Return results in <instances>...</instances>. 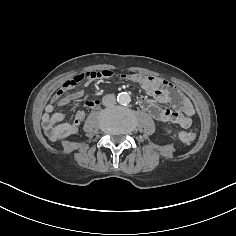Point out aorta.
Here are the masks:
<instances>
[{"mask_svg": "<svg viewBox=\"0 0 236 236\" xmlns=\"http://www.w3.org/2000/svg\"><path fill=\"white\" fill-rule=\"evenodd\" d=\"M117 101L121 105H127V104L130 103L131 97H130V95L127 92H121L117 96Z\"/></svg>", "mask_w": 236, "mask_h": 236, "instance_id": "obj_1", "label": "aorta"}]
</instances>
